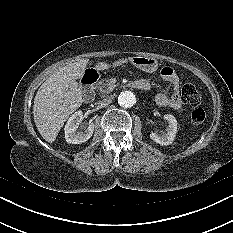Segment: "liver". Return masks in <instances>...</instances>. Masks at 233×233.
<instances>
[{
	"label": "liver",
	"mask_w": 233,
	"mask_h": 233,
	"mask_svg": "<svg viewBox=\"0 0 233 233\" xmlns=\"http://www.w3.org/2000/svg\"><path fill=\"white\" fill-rule=\"evenodd\" d=\"M88 59L68 63L52 74L38 89L33 105L35 125L47 142L55 141L59 131L69 116L83 103L78 87ZM109 64L101 62L97 70H105Z\"/></svg>",
	"instance_id": "6515ba94"
}]
</instances>
